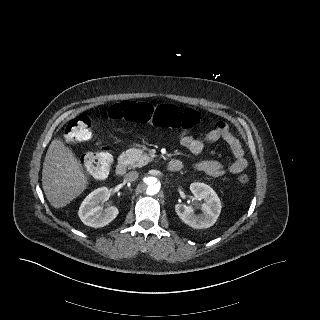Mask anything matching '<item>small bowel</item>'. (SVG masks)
<instances>
[{
    "label": "small bowel",
    "mask_w": 320,
    "mask_h": 320,
    "mask_svg": "<svg viewBox=\"0 0 320 320\" xmlns=\"http://www.w3.org/2000/svg\"><path fill=\"white\" fill-rule=\"evenodd\" d=\"M223 140L230 148L234 160L228 165L217 160H205L196 163L195 169L212 177H222L226 173L239 174L247 168L248 162L244 156V149L240 140L231 133L224 122H217L203 138L194 137L182 132L180 144L194 155H199L204 150L206 143Z\"/></svg>",
    "instance_id": "small-bowel-1"
}]
</instances>
